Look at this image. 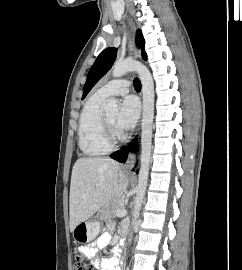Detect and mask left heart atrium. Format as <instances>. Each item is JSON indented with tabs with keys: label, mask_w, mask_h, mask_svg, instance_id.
<instances>
[{
	"label": "left heart atrium",
	"mask_w": 242,
	"mask_h": 270,
	"mask_svg": "<svg viewBox=\"0 0 242 270\" xmlns=\"http://www.w3.org/2000/svg\"><path fill=\"white\" fill-rule=\"evenodd\" d=\"M140 114V104L134 96L126 97L121 104L117 118V127L120 130H129L134 127Z\"/></svg>",
	"instance_id": "39dd6f15"
}]
</instances>
